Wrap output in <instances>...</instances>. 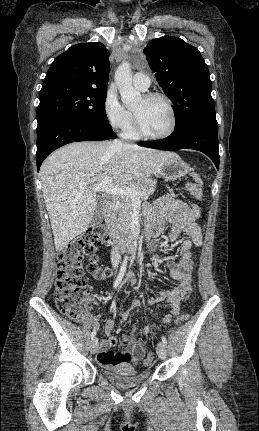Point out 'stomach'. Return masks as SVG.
<instances>
[{"label": "stomach", "mask_w": 259, "mask_h": 431, "mask_svg": "<svg viewBox=\"0 0 259 431\" xmlns=\"http://www.w3.org/2000/svg\"><path fill=\"white\" fill-rule=\"evenodd\" d=\"M190 170L189 164L175 154L164 161L157 173L165 181H175L187 175Z\"/></svg>", "instance_id": "obj_1"}]
</instances>
